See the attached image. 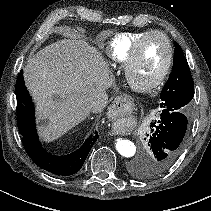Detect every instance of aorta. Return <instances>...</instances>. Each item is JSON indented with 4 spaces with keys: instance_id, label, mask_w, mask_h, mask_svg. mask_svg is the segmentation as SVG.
I'll return each mask as SVG.
<instances>
[{
    "instance_id": "1",
    "label": "aorta",
    "mask_w": 211,
    "mask_h": 211,
    "mask_svg": "<svg viewBox=\"0 0 211 211\" xmlns=\"http://www.w3.org/2000/svg\"><path fill=\"white\" fill-rule=\"evenodd\" d=\"M115 146L118 153L124 157H132L136 153V146L130 140L118 139Z\"/></svg>"
}]
</instances>
